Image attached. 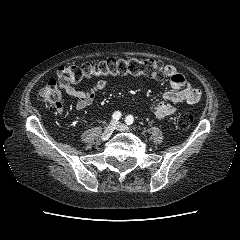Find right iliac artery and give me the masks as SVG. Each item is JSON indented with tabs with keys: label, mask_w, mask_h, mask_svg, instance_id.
Masks as SVG:
<instances>
[{
	"label": "right iliac artery",
	"mask_w": 240,
	"mask_h": 240,
	"mask_svg": "<svg viewBox=\"0 0 240 240\" xmlns=\"http://www.w3.org/2000/svg\"><path fill=\"white\" fill-rule=\"evenodd\" d=\"M121 116H122L121 112L116 111V112H114V114L112 115V118L117 121V120H119V119L121 118Z\"/></svg>",
	"instance_id": "right-iliac-artery-1"
}]
</instances>
